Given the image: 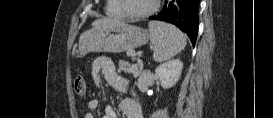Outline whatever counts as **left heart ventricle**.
<instances>
[{
    "instance_id": "b2bd125f",
    "label": "left heart ventricle",
    "mask_w": 273,
    "mask_h": 118,
    "mask_svg": "<svg viewBox=\"0 0 273 118\" xmlns=\"http://www.w3.org/2000/svg\"><path fill=\"white\" fill-rule=\"evenodd\" d=\"M154 0H126L127 9L131 12H143L152 7Z\"/></svg>"
}]
</instances>
